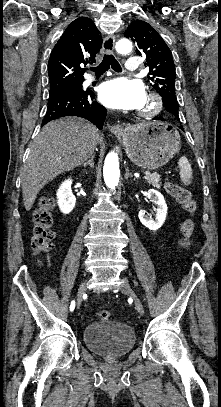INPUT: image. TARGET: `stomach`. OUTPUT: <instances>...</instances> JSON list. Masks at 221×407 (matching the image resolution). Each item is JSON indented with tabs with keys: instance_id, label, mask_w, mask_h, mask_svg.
Instances as JSON below:
<instances>
[{
	"instance_id": "obj_1",
	"label": "stomach",
	"mask_w": 221,
	"mask_h": 407,
	"mask_svg": "<svg viewBox=\"0 0 221 407\" xmlns=\"http://www.w3.org/2000/svg\"><path fill=\"white\" fill-rule=\"evenodd\" d=\"M128 158L137 166L154 170L179 151L180 134L169 123L152 121L130 126L120 137Z\"/></svg>"
}]
</instances>
